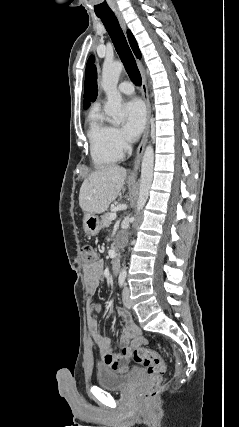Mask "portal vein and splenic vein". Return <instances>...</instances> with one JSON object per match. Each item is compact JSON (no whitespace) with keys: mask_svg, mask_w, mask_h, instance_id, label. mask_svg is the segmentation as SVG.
<instances>
[{"mask_svg":"<svg viewBox=\"0 0 239 427\" xmlns=\"http://www.w3.org/2000/svg\"><path fill=\"white\" fill-rule=\"evenodd\" d=\"M116 217H117L116 213H111L109 216L110 220H115Z\"/></svg>","mask_w":239,"mask_h":427,"instance_id":"1","label":"portal vein and splenic vein"}]
</instances>
